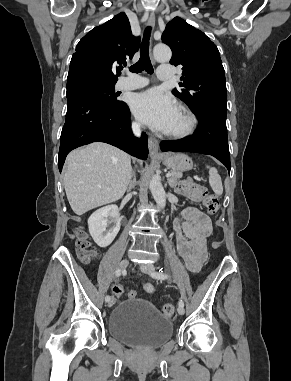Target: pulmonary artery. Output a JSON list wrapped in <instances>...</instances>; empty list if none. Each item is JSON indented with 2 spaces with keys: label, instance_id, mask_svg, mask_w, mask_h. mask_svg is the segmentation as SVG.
I'll return each instance as SVG.
<instances>
[{
  "label": "pulmonary artery",
  "instance_id": "pulmonary-artery-1",
  "mask_svg": "<svg viewBox=\"0 0 291 381\" xmlns=\"http://www.w3.org/2000/svg\"><path fill=\"white\" fill-rule=\"evenodd\" d=\"M174 67L171 65H160L157 69V77L160 80H170L173 77ZM148 84V80L137 74L127 73L126 77H122L117 82L119 90H135L142 88Z\"/></svg>",
  "mask_w": 291,
  "mask_h": 381
}]
</instances>
